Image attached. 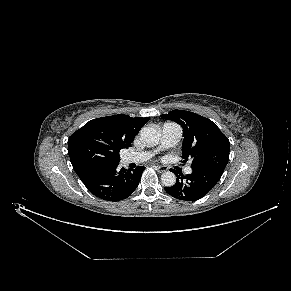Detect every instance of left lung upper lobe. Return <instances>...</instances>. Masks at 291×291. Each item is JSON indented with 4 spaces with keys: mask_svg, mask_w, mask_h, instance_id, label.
<instances>
[{
    "mask_svg": "<svg viewBox=\"0 0 291 291\" xmlns=\"http://www.w3.org/2000/svg\"><path fill=\"white\" fill-rule=\"evenodd\" d=\"M162 118L180 124L184 131L182 157L191 167L224 171L229 160L230 142L211 120L196 113L173 110Z\"/></svg>",
    "mask_w": 291,
    "mask_h": 291,
    "instance_id": "obj_1",
    "label": "left lung upper lobe"
}]
</instances>
